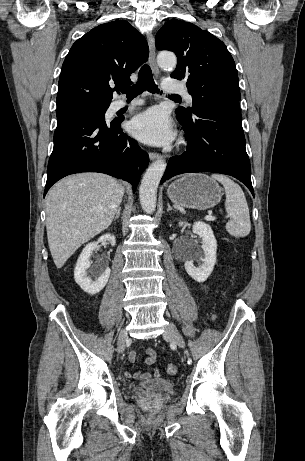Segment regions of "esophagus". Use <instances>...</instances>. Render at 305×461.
<instances>
[{"instance_id": "obj_1", "label": "esophagus", "mask_w": 305, "mask_h": 461, "mask_svg": "<svg viewBox=\"0 0 305 461\" xmlns=\"http://www.w3.org/2000/svg\"><path fill=\"white\" fill-rule=\"evenodd\" d=\"M147 42H148V46H149V63L151 65V68H152L154 74L158 75L159 74V69H158V66L156 64L155 41H154V36H153V34L151 32H149L147 34ZM149 158H150V160H156V159H160L161 155L159 153L150 152L149 153Z\"/></svg>"}]
</instances>
